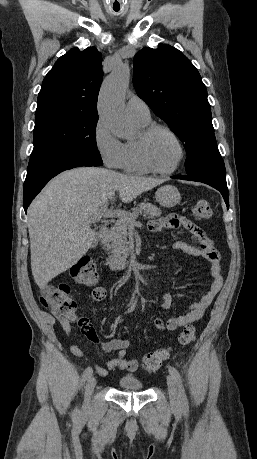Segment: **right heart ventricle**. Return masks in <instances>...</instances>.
Masks as SVG:
<instances>
[{
  "label": "right heart ventricle",
  "instance_id": "e07e8e85",
  "mask_svg": "<svg viewBox=\"0 0 257 459\" xmlns=\"http://www.w3.org/2000/svg\"><path fill=\"white\" fill-rule=\"evenodd\" d=\"M134 119L141 128L146 127L150 123V120L143 121L136 118ZM120 168L126 172L135 174H146L149 172V170L140 161L136 140L124 143V158Z\"/></svg>",
  "mask_w": 257,
  "mask_h": 459
}]
</instances>
